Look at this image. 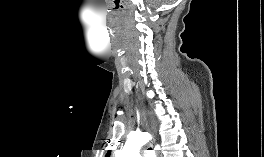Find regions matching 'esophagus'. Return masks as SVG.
Listing matches in <instances>:
<instances>
[{"label": "esophagus", "mask_w": 264, "mask_h": 157, "mask_svg": "<svg viewBox=\"0 0 264 157\" xmlns=\"http://www.w3.org/2000/svg\"><path fill=\"white\" fill-rule=\"evenodd\" d=\"M156 153H157V157H161V155L159 154V151H157Z\"/></svg>", "instance_id": "obj_1"}]
</instances>
